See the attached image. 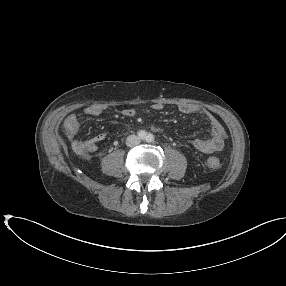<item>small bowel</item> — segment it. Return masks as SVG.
Listing matches in <instances>:
<instances>
[{"instance_id":"1","label":"small bowel","mask_w":286,"mask_h":286,"mask_svg":"<svg viewBox=\"0 0 286 286\" xmlns=\"http://www.w3.org/2000/svg\"><path fill=\"white\" fill-rule=\"evenodd\" d=\"M162 103H155L152 109L155 111L163 110ZM178 110L183 114L197 113L205 117L211 125L212 136L209 139H196L193 141L194 147L205 153H212L219 151L223 148L226 131L223 125L205 108L191 103H180ZM104 108L98 105H90L84 109V115L88 117H95L100 115ZM126 117H133L136 111L133 108H126L122 111ZM65 135L72 143L74 152L79 156H87L89 153H94L98 150L99 144L106 139V133H99L91 138L85 140L75 139L80 132L81 124L79 118L75 114H69L63 120Z\"/></svg>"}]
</instances>
